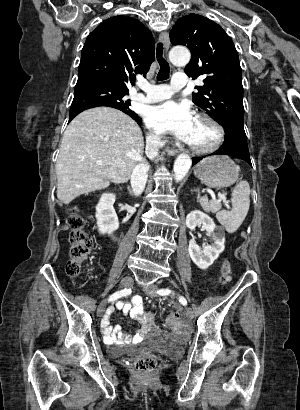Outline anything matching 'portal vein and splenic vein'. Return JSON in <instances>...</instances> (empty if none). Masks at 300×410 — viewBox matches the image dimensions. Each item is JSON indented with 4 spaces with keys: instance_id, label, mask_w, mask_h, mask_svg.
<instances>
[{
    "instance_id": "portal-vein-and-splenic-vein-1",
    "label": "portal vein and splenic vein",
    "mask_w": 300,
    "mask_h": 410,
    "mask_svg": "<svg viewBox=\"0 0 300 410\" xmlns=\"http://www.w3.org/2000/svg\"><path fill=\"white\" fill-rule=\"evenodd\" d=\"M97 164H102V162H101V161H97ZM218 198H219L220 200H224L226 197H225L224 194H218Z\"/></svg>"
}]
</instances>
